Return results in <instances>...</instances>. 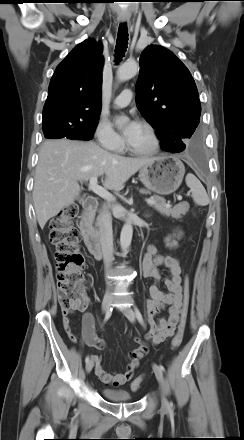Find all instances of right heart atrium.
Masks as SVG:
<instances>
[{
    "label": "right heart atrium",
    "instance_id": "obj_1",
    "mask_svg": "<svg viewBox=\"0 0 244 440\" xmlns=\"http://www.w3.org/2000/svg\"><path fill=\"white\" fill-rule=\"evenodd\" d=\"M95 138L98 143L105 149L118 151L123 146V140L120 135L113 129L111 123L106 119H100L95 127Z\"/></svg>",
    "mask_w": 244,
    "mask_h": 440
}]
</instances>
